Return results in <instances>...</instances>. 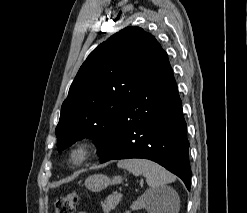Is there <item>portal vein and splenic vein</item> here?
<instances>
[{"label":"portal vein and splenic vein","instance_id":"obj_1","mask_svg":"<svg viewBox=\"0 0 247 213\" xmlns=\"http://www.w3.org/2000/svg\"><path fill=\"white\" fill-rule=\"evenodd\" d=\"M117 195H118V196H122L123 194H122V192H119V193H117Z\"/></svg>","mask_w":247,"mask_h":213}]
</instances>
